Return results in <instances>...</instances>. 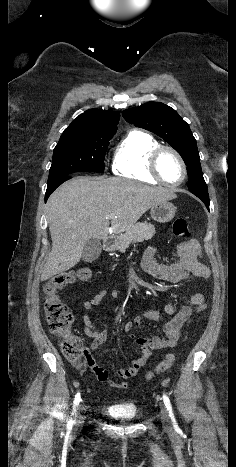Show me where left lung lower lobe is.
Returning <instances> with one entry per match:
<instances>
[{
	"label": "left lung lower lobe",
	"instance_id": "left-lung-lower-lobe-1",
	"mask_svg": "<svg viewBox=\"0 0 236 467\" xmlns=\"http://www.w3.org/2000/svg\"><path fill=\"white\" fill-rule=\"evenodd\" d=\"M191 193H193L198 198H200L204 202V204L206 205L207 209L209 210V194H208V190H202V191L192 190Z\"/></svg>",
	"mask_w": 236,
	"mask_h": 467
}]
</instances>
